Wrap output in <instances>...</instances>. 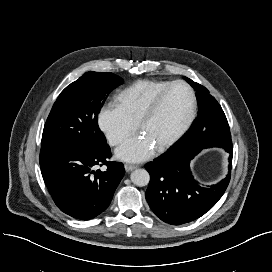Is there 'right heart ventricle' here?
I'll return each instance as SVG.
<instances>
[{"instance_id":"1","label":"right heart ventricle","mask_w":272,"mask_h":272,"mask_svg":"<svg viewBox=\"0 0 272 272\" xmlns=\"http://www.w3.org/2000/svg\"><path fill=\"white\" fill-rule=\"evenodd\" d=\"M169 84L162 80H138L118 93L117 106L136 124L153 98Z\"/></svg>"}]
</instances>
